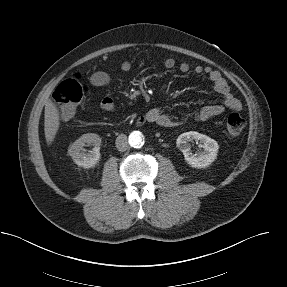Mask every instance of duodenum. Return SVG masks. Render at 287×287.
<instances>
[{
	"label": "duodenum",
	"mask_w": 287,
	"mask_h": 287,
	"mask_svg": "<svg viewBox=\"0 0 287 287\" xmlns=\"http://www.w3.org/2000/svg\"><path fill=\"white\" fill-rule=\"evenodd\" d=\"M147 121V119H146V117L145 116H142V117H140L139 119H138V124H142V123H144V122H146Z\"/></svg>",
	"instance_id": "410a0bca"
}]
</instances>
